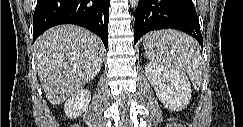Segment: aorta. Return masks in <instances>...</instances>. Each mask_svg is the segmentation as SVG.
<instances>
[{
	"mask_svg": "<svg viewBox=\"0 0 243 127\" xmlns=\"http://www.w3.org/2000/svg\"><path fill=\"white\" fill-rule=\"evenodd\" d=\"M138 4V0H130V5L132 8L136 7Z\"/></svg>",
	"mask_w": 243,
	"mask_h": 127,
	"instance_id": "1",
	"label": "aorta"
}]
</instances>
